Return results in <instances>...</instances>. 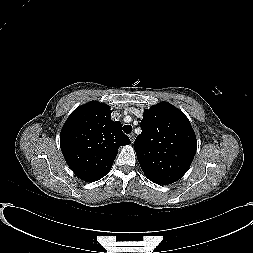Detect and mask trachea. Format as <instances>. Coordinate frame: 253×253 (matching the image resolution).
Listing matches in <instances>:
<instances>
[{
    "mask_svg": "<svg viewBox=\"0 0 253 253\" xmlns=\"http://www.w3.org/2000/svg\"><path fill=\"white\" fill-rule=\"evenodd\" d=\"M123 131L126 133V134H129L132 132V126L131 125H124L123 126Z\"/></svg>",
    "mask_w": 253,
    "mask_h": 253,
    "instance_id": "1",
    "label": "trachea"
}]
</instances>
